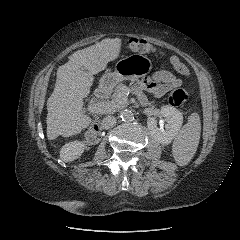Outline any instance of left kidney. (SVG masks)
Listing matches in <instances>:
<instances>
[{"label":"left kidney","instance_id":"5707ae66","mask_svg":"<svg viewBox=\"0 0 240 240\" xmlns=\"http://www.w3.org/2000/svg\"><path fill=\"white\" fill-rule=\"evenodd\" d=\"M161 115L166 118L165 130L157 127L155 117H148L147 127L151 136L160 144L166 145L177 136L183 123L182 113L172 106L161 107Z\"/></svg>","mask_w":240,"mask_h":240}]
</instances>
